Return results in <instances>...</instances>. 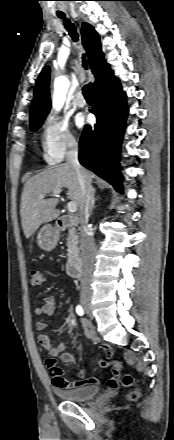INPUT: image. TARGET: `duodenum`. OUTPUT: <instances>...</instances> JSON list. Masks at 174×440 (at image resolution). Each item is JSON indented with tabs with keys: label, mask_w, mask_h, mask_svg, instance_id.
Wrapping results in <instances>:
<instances>
[{
	"label": "duodenum",
	"mask_w": 174,
	"mask_h": 440,
	"mask_svg": "<svg viewBox=\"0 0 174 440\" xmlns=\"http://www.w3.org/2000/svg\"><path fill=\"white\" fill-rule=\"evenodd\" d=\"M57 224L60 229H66L75 225L81 224V219L78 216L67 215L58 219ZM69 274L73 277H81L82 267L81 262L77 257H72L68 262Z\"/></svg>",
	"instance_id": "obj_1"
}]
</instances>
